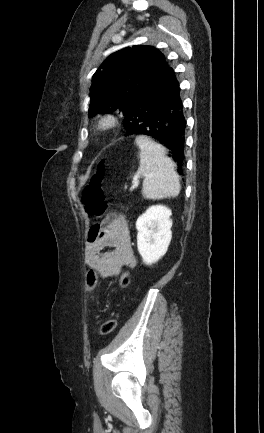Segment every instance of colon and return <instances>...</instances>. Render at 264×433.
<instances>
[{
    "label": "colon",
    "instance_id": "colon-1",
    "mask_svg": "<svg viewBox=\"0 0 264 433\" xmlns=\"http://www.w3.org/2000/svg\"><path fill=\"white\" fill-rule=\"evenodd\" d=\"M106 163L100 160L90 177V180L83 190V202L87 211L94 217H102L107 208L108 203L105 199L102 184L105 176ZM98 282V274L95 270L91 269L86 275L85 288L88 292L95 289ZM130 283V276L128 272H123L119 277V285L122 288L128 287ZM117 325L114 317L108 318L100 327L99 333L101 335H108L112 333Z\"/></svg>",
    "mask_w": 264,
    "mask_h": 433
}]
</instances>
